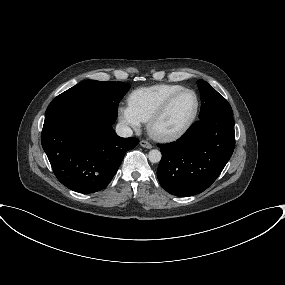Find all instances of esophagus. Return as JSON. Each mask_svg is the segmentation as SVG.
Segmentation results:
<instances>
[{
	"mask_svg": "<svg viewBox=\"0 0 285 285\" xmlns=\"http://www.w3.org/2000/svg\"><path fill=\"white\" fill-rule=\"evenodd\" d=\"M140 145L142 147H144V148H147V149H151L152 148V145L148 141H146V140H141L140 141Z\"/></svg>",
	"mask_w": 285,
	"mask_h": 285,
	"instance_id": "obj_1",
	"label": "esophagus"
}]
</instances>
